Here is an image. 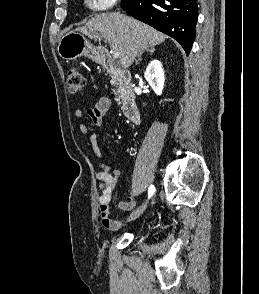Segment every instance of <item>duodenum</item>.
Segmentation results:
<instances>
[{
	"label": "duodenum",
	"instance_id": "duodenum-1",
	"mask_svg": "<svg viewBox=\"0 0 259 294\" xmlns=\"http://www.w3.org/2000/svg\"><path fill=\"white\" fill-rule=\"evenodd\" d=\"M99 61L104 66L106 71L112 74L117 81L120 88L119 99L121 101L124 116L135 124L140 123L136 95L131 87L130 72L115 67L109 57L102 51L99 53Z\"/></svg>",
	"mask_w": 259,
	"mask_h": 294
}]
</instances>
